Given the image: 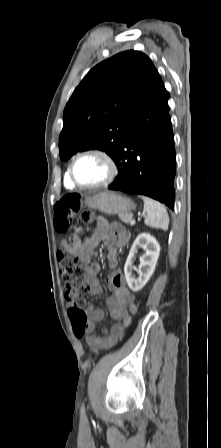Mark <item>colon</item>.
Listing matches in <instances>:
<instances>
[{
  "mask_svg": "<svg viewBox=\"0 0 221 448\" xmlns=\"http://www.w3.org/2000/svg\"><path fill=\"white\" fill-rule=\"evenodd\" d=\"M80 195L67 193L54 206V228L57 232H66L70 227H79L88 218L80 208ZM60 272L65 284V297L71 303L69 315L76 337L86 333L87 315L83 307L88 297V289L81 284L85 275V262L79 256H72L60 251L58 253Z\"/></svg>",
  "mask_w": 221,
  "mask_h": 448,
  "instance_id": "colon-1",
  "label": "colon"
}]
</instances>
